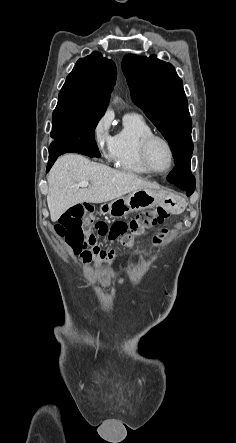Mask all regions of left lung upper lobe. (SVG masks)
Listing matches in <instances>:
<instances>
[{"label":"left lung upper lobe","instance_id":"left-lung-upper-lobe-1","mask_svg":"<svg viewBox=\"0 0 236 443\" xmlns=\"http://www.w3.org/2000/svg\"><path fill=\"white\" fill-rule=\"evenodd\" d=\"M132 100L170 144L175 164L190 160L193 152L192 120L183 82L174 67L157 59L134 54L122 61Z\"/></svg>","mask_w":236,"mask_h":443}]
</instances>
